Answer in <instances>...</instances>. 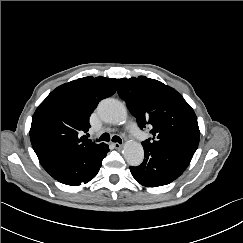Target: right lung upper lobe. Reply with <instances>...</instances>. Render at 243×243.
I'll use <instances>...</instances> for the list:
<instances>
[{"instance_id":"right-lung-upper-lobe-1","label":"right lung upper lobe","mask_w":243,"mask_h":243,"mask_svg":"<svg viewBox=\"0 0 243 243\" xmlns=\"http://www.w3.org/2000/svg\"><path fill=\"white\" fill-rule=\"evenodd\" d=\"M118 80L84 77L53 90L38 106L30 128L32 147L44 165L68 155L91 152L102 145L84 135L98 103L116 92Z\"/></svg>"}]
</instances>
